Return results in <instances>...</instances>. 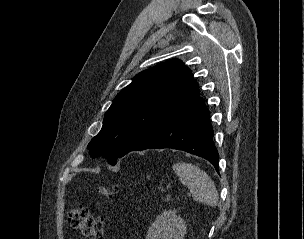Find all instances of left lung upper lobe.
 <instances>
[{
	"label": "left lung upper lobe",
	"instance_id": "left-lung-upper-lobe-1",
	"mask_svg": "<svg viewBox=\"0 0 304 239\" xmlns=\"http://www.w3.org/2000/svg\"><path fill=\"white\" fill-rule=\"evenodd\" d=\"M200 97L191 70L172 59L137 74L105 113L101 131L90 141V155L112 165L156 129Z\"/></svg>",
	"mask_w": 304,
	"mask_h": 239
}]
</instances>
